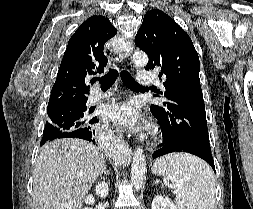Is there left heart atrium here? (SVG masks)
Returning <instances> with one entry per match:
<instances>
[{
  "label": "left heart atrium",
  "mask_w": 253,
  "mask_h": 209,
  "mask_svg": "<svg viewBox=\"0 0 253 209\" xmlns=\"http://www.w3.org/2000/svg\"><path fill=\"white\" fill-rule=\"evenodd\" d=\"M102 116L106 122L128 129H136L142 123L138 107L130 101L106 106Z\"/></svg>",
  "instance_id": "39dd6f15"
}]
</instances>
